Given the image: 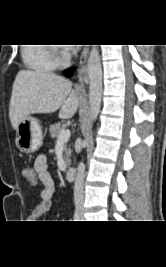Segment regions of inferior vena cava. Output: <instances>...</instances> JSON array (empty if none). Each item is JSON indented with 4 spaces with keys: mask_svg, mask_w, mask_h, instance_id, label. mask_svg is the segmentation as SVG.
Listing matches in <instances>:
<instances>
[{
    "mask_svg": "<svg viewBox=\"0 0 166 267\" xmlns=\"http://www.w3.org/2000/svg\"><path fill=\"white\" fill-rule=\"evenodd\" d=\"M84 177H85V166L81 162L77 168V176L74 183V203L76 209H81L83 207Z\"/></svg>",
    "mask_w": 166,
    "mask_h": 267,
    "instance_id": "1",
    "label": "inferior vena cava"
}]
</instances>
